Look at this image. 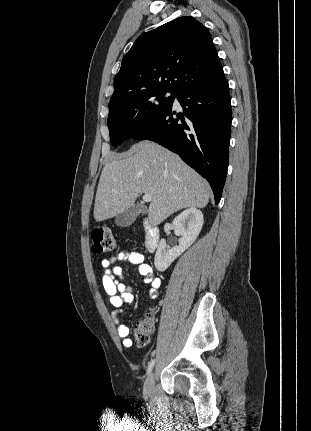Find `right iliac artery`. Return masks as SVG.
Segmentation results:
<instances>
[{
    "label": "right iliac artery",
    "instance_id": "right-iliac-artery-1",
    "mask_svg": "<svg viewBox=\"0 0 311 431\" xmlns=\"http://www.w3.org/2000/svg\"><path fill=\"white\" fill-rule=\"evenodd\" d=\"M154 362H155V360H154V359H152V360L149 362V364H148V369H147V374H149V373L152 371V368H153V366H154Z\"/></svg>",
    "mask_w": 311,
    "mask_h": 431
}]
</instances>
